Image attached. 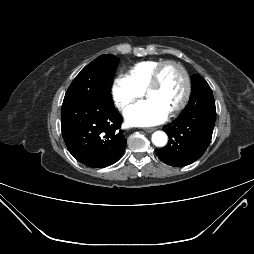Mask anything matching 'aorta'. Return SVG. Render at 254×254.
<instances>
[{
  "label": "aorta",
  "instance_id": "obj_1",
  "mask_svg": "<svg viewBox=\"0 0 254 254\" xmlns=\"http://www.w3.org/2000/svg\"><path fill=\"white\" fill-rule=\"evenodd\" d=\"M168 137L163 131H156L152 135V142L158 147L165 146L167 143Z\"/></svg>",
  "mask_w": 254,
  "mask_h": 254
}]
</instances>
